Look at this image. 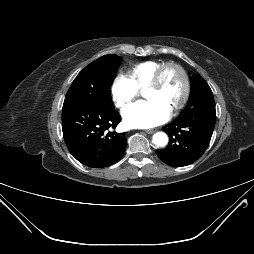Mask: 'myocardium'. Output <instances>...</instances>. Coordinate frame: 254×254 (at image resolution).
Wrapping results in <instances>:
<instances>
[{"instance_id": "obj_1", "label": "myocardium", "mask_w": 254, "mask_h": 254, "mask_svg": "<svg viewBox=\"0 0 254 254\" xmlns=\"http://www.w3.org/2000/svg\"><path fill=\"white\" fill-rule=\"evenodd\" d=\"M168 68H174L176 69L183 80V92H182V96L180 98V100L178 101V103L175 105V107L171 110V114H175L177 113L180 109H182L184 107V105L186 104L188 98H189V94H190V81H189V77L187 72L185 71V69L178 63L175 62H165L162 63L155 71L154 76L151 80V82L149 83L147 90L149 89H154L160 86L161 84V80H162V75L165 72L166 69Z\"/></svg>"}]
</instances>
